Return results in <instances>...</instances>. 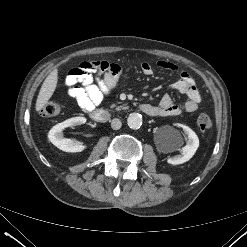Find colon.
<instances>
[{
	"label": "colon",
	"instance_id": "5ec220e1",
	"mask_svg": "<svg viewBox=\"0 0 247 247\" xmlns=\"http://www.w3.org/2000/svg\"><path fill=\"white\" fill-rule=\"evenodd\" d=\"M61 108L55 102L46 103L41 109V114L45 117H53L60 113ZM196 124L199 130L207 131L212 127V120L209 115L202 113L197 117Z\"/></svg>",
	"mask_w": 247,
	"mask_h": 247
}]
</instances>
